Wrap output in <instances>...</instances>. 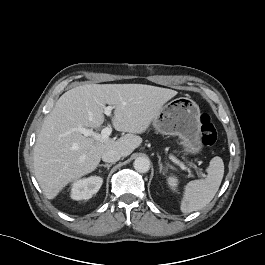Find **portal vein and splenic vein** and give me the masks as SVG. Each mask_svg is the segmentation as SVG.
Wrapping results in <instances>:
<instances>
[{"label":"portal vein and splenic vein","mask_w":265,"mask_h":265,"mask_svg":"<svg viewBox=\"0 0 265 265\" xmlns=\"http://www.w3.org/2000/svg\"><path fill=\"white\" fill-rule=\"evenodd\" d=\"M114 107L113 106H107L105 107L104 109V113L107 115V116H111V112H112V109ZM79 132H81L84 136L88 137V136H92L94 137L96 140H101V141H105L107 139H109V136L110 134L112 133V128L110 125L106 126L105 128L102 129L101 133H96L94 132L93 130L91 129H86L82 126L78 127L77 129ZM170 159L178 164L181 169L183 170H186L190 175H192V171L190 170V168H188L183 162H180L178 159H176L174 156H170ZM201 176L204 177L205 174L201 173Z\"/></svg>","instance_id":"1"}]
</instances>
